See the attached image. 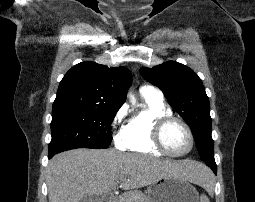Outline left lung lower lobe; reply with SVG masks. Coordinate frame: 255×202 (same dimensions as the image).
Instances as JSON below:
<instances>
[{
	"mask_svg": "<svg viewBox=\"0 0 255 202\" xmlns=\"http://www.w3.org/2000/svg\"><path fill=\"white\" fill-rule=\"evenodd\" d=\"M206 164H208V166L214 171V173L217 172V167H216V163L215 161H210V160H207V161H204Z\"/></svg>",
	"mask_w": 255,
	"mask_h": 202,
	"instance_id": "0a47b994",
	"label": "left lung lower lobe"
}]
</instances>
